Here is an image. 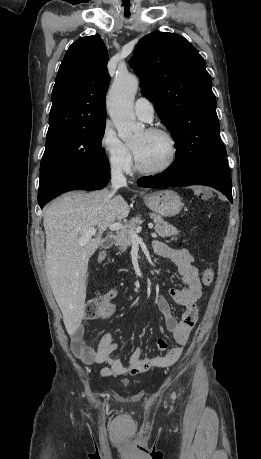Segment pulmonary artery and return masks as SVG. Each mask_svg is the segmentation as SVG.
Here are the masks:
<instances>
[{
	"instance_id": "pulmonary-artery-1",
	"label": "pulmonary artery",
	"mask_w": 261,
	"mask_h": 459,
	"mask_svg": "<svg viewBox=\"0 0 261 459\" xmlns=\"http://www.w3.org/2000/svg\"><path fill=\"white\" fill-rule=\"evenodd\" d=\"M134 112L139 119L146 122L152 121L154 117L153 104L145 97H140L135 101Z\"/></svg>"
}]
</instances>
